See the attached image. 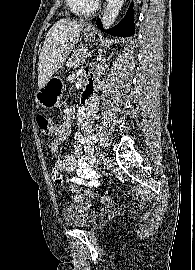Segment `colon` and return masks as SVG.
Segmentation results:
<instances>
[{
    "label": "colon",
    "instance_id": "colon-1",
    "mask_svg": "<svg viewBox=\"0 0 195 270\" xmlns=\"http://www.w3.org/2000/svg\"><path fill=\"white\" fill-rule=\"evenodd\" d=\"M36 123L39 127V129L46 135H51L54 131L55 128V123L52 119H50L49 117L43 116V115H39L36 118ZM87 196L95 198V199H99L101 201V203H103L104 205L110 206L112 205L114 202L111 198L109 197H101L99 198L98 196H96L94 193L86 191L85 192Z\"/></svg>",
    "mask_w": 195,
    "mask_h": 270
}]
</instances>
